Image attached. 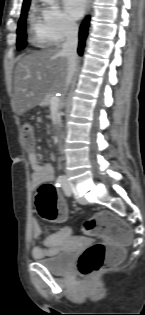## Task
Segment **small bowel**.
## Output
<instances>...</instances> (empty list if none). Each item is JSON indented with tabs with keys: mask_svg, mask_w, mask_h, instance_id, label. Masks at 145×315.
Wrapping results in <instances>:
<instances>
[{
	"mask_svg": "<svg viewBox=\"0 0 145 315\" xmlns=\"http://www.w3.org/2000/svg\"><path fill=\"white\" fill-rule=\"evenodd\" d=\"M28 160L32 168L31 186L36 188L38 185L53 180V166L50 163L40 164L37 154L34 151L28 153ZM69 228H64L60 232L47 237L44 246L37 244L32 245V256L41 259L48 256H54L60 252L63 240L69 233ZM41 234V229L37 223L32 228L33 238H37Z\"/></svg>",
	"mask_w": 145,
	"mask_h": 315,
	"instance_id": "1",
	"label": "small bowel"
}]
</instances>
